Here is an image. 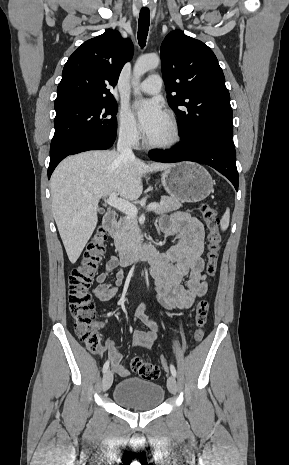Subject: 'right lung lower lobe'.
Here are the masks:
<instances>
[{"label":"right lung lower lobe","mask_w":289,"mask_h":465,"mask_svg":"<svg viewBox=\"0 0 289 465\" xmlns=\"http://www.w3.org/2000/svg\"><path fill=\"white\" fill-rule=\"evenodd\" d=\"M116 138L115 136L110 137H95V138H87L76 143L74 146L63 150L62 152L58 153L57 155L50 157V164L48 168V178H50L52 172L54 171L55 167L59 164L61 160H63L68 155L77 154L83 151L88 150H103L108 149L114 142Z\"/></svg>","instance_id":"right-lung-lower-lobe-1"}]
</instances>
